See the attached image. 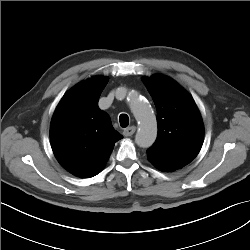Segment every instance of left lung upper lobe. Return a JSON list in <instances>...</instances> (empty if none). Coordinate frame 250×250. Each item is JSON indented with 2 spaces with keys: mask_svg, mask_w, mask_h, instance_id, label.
Listing matches in <instances>:
<instances>
[{
  "mask_svg": "<svg viewBox=\"0 0 250 250\" xmlns=\"http://www.w3.org/2000/svg\"><path fill=\"white\" fill-rule=\"evenodd\" d=\"M157 109L158 135L149 152L193 160L203 144L204 127L193 98L172 79H143Z\"/></svg>",
  "mask_w": 250,
  "mask_h": 250,
  "instance_id": "left-lung-upper-lobe-1",
  "label": "left lung upper lobe"
}]
</instances>
